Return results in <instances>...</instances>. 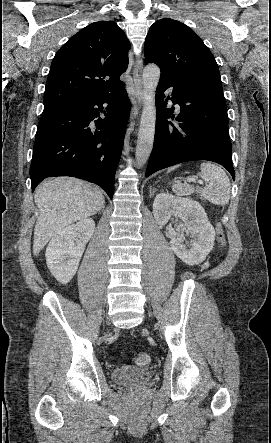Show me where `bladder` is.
<instances>
[{"label": "bladder", "mask_w": 271, "mask_h": 443, "mask_svg": "<svg viewBox=\"0 0 271 443\" xmlns=\"http://www.w3.org/2000/svg\"><path fill=\"white\" fill-rule=\"evenodd\" d=\"M151 377L152 372L149 369L131 365L118 366L111 373L113 382L124 386L140 385L149 381Z\"/></svg>", "instance_id": "1"}]
</instances>
